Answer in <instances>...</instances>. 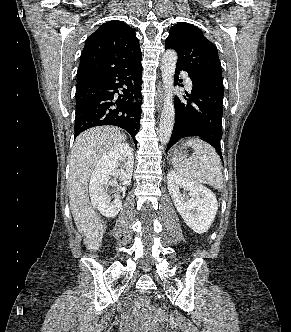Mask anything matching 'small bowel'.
Segmentation results:
<instances>
[{
  "label": "small bowel",
  "instance_id": "c3829d8e",
  "mask_svg": "<svg viewBox=\"0 0 291 332\" xmlns=\"http://www.w3.org/2000/svg\"><path fill=\"white\" fill-rule=\"evenodd\" d=\"M138 304L133 306V310L138 318V320L146 327H154L158 322L163 321L165 314L162 310L158 311H147L144 315H140L137 312ZM133 324L131 321L128 322V326L131 327Z\"/></svg>",
  "mask_w": 291,
  "mask_h": 332
}]
</instances>
